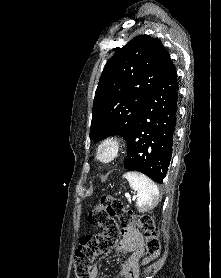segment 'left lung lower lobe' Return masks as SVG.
I'll return each mask as SVG.
<instances>
[{
	"label": "left lung lower lobe",
	"instance_id": "obj_1",
	"mask_svg": "<svg viewBox=\"0 0 221 278\" xmlns=\"http://www.w3.org/2000/svg\"><path fill=\"white\" fill-rule=\"evenodd\" d=\"M177 109V74L170 60L126 139V169L163 183L172 156Z\"/></svg>",
	"mask_w": 221,
	"mask_h": 278
}]
</instances>
